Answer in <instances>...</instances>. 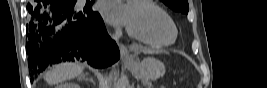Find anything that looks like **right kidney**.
I'll list each match as a JSON object with an SVG mask.
<instances>
[{
  "instance_id": "ca27d5eb",
  "label": "right kidney",
  "mask_w": 267,
  "mask_h": 88,
  "mask_svg": "<svg viewBox=\"0 0 267 88\" xmlns=\"http://www.w3.org/2000/svg\"><path fill=\"white\" fill-rule=\"evenodd\" d=\"M57 88H80V86L73 82H65L57 86Z\"/></svg>"
}]
</instances>
